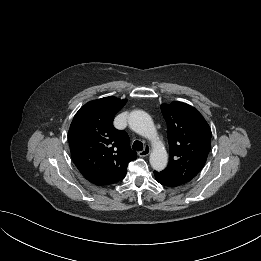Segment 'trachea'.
<instances>
[{
  "mask_svg": "<svg viewBox=\"0 0 261 261\" xmlns=\"http://www.w3.org/2000/svg\"><path fill=\"white\" fill-rule=\"evenodd\" d=\"M132 149L136 150V151H142L143 150V144L142 142L136 140L133 145H132Z\"/></svg>",
  "mask_w": 261,
  "mask_h": 261,
  "instance_id": "3493384b",
  "label": "trachea"
}]
</instances>
